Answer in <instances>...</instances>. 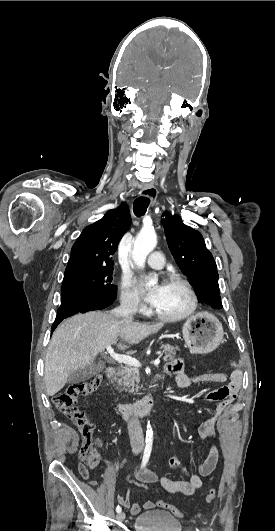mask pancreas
<instances>
[{
  "mask_svg": "<svg viewBox=\"0 0 275 531\" xmlns=\"http://www.w3.org/2000/svg\"><path fill=\"white\" fill-rule=\"evenodd\" d=\"M160 349H163V353H165L163 361H173V359H175L176 351H180L179 347H171V345H161ZM111 383H114L117 387H121V389H131V391H134V387H136V389H141V387H139V371L138 369H134V367H130V365L119 367L117 377L111 379Z\"/></svg>",
  "mask_w": 275,
  "mask_h": 531,
  "instance_id": "pancreas-1",
  "label": "pancreas"
}]
</instances>
